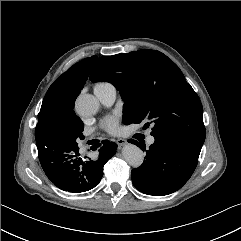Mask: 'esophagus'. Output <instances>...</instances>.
I'll return each instance as SVG.
<instances>
[{
    "instance_id": "esophagus-1",
    "label": "esophagus",
    "mask_w": 241,
    "mask_h": 241,
    "mask_svg": "<svg viewBox=\"0 0 241 241\" xmlns=\"http://www.w3.org/2000/svg\"><path fill=\"white\" fill-rule=\"evenodd\" d=\"M116 143L118 144L119 147H122V146H124L127 142H126V140L123 139V138H118V139L116 140Z\"/></svg>"
}]
</instances>
